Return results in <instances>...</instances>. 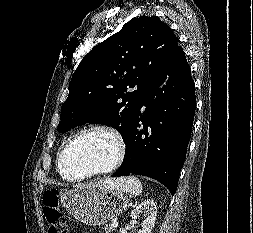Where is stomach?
<instances>
[{
    "label": "stomach",
    "mask_w": 253,
    "mask_h": 233,
    "mask_svg": "<svg viewBox=\"0 0 253 233\" xmlns=\"http://www.w3.org/2000/svg\"><path fill=\"white\" fill-rule=\"evenodd\" d=\"M60 201L69 214L90 226L107 223L122 214L129 205L122 191L96 182L62 192Z\"/></svg>",
    "instance_id": "obj_1"
}]
</instances>
